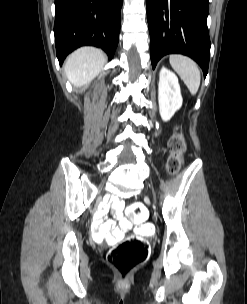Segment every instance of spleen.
<instances>
[{"label": "spleen", "mask_w": 247, "mask_h": 304, "mask_svg": "<svg viewBox=\"0 0 247 304\" xmlns=\"http://www.w3.org/2000/svg\"><path fill=\"white\" fill-rule=\"evenodd\" d=\"M169 61L173 69L179 74L192 95L199 89L201 76L197 64L189 57L172 54Z\"/></svg>", "instance_id": "3e777b00"}]
</instances>
